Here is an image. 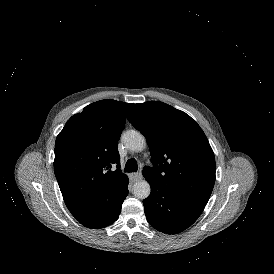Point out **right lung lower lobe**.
Wrapping results in <instances>:
<instances>
[{
	"label": "right lung lower lobe",
	"mask_w": 274,
	"mask_h": 274,
	"mask_svg": "<svg viewBox=\"0 0 274 274\" xmlns=\"http://www.w3.org/2000/svg\"><path fill=\"white\" fill-rule=\"evenodd\" d=\"M127 186L128 183L113 196L112 200L99 218L82 221L80 223L88 228H102L116 221L121 212L122 203L128 195Z\"/></svg>",
	"instance_id": "obj_1"
}]
</instances>
